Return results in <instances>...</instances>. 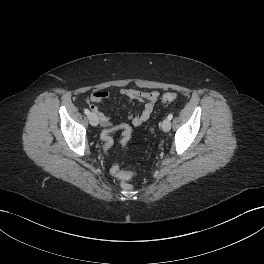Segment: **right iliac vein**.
<instances>
[{
    "instance_id": "right-iliac-vein-1",
    "label": "right iliac vein",
    "mask_w": 264,
    "mask_h": 264,
    "mask_svg": "<svg viewBox=\"0 0 264 264\" xmlns=\"http://www.w3.org/2000/svg\"><path fill=\"white\" fill-rule=\"evenodd\" d=\"M88 119H89V122L92 126H97L99 123L98 118L94 113H90L88 115Z\"/></svg>"
}]
</instances>
